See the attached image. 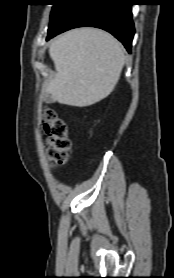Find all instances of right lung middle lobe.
<instances>
[{
	"mask_svg": "<svg viewBox=\"0 0 174 278\" xmlns=\"http://www.w3.org/2000/svg\"><path fill=\"white\" fill-rule=\"evenodd\" d=\"M79 0H51L53 8L49 29L56 27ZM48 29V30H49Z\"/></svg>",
	"mask_w": 174,
	"mask_h": 278,
	"instance_id": "dd1d6c3e",
	"label": "right lung middle lobe"
}]
</instances>
